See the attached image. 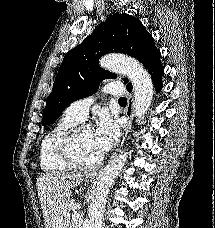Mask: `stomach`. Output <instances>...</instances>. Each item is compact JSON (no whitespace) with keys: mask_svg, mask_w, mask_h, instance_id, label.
<instances>
[{"mask_svg":"<svg viewBox=\"0 0 215 228\" xmlns=\"http://www.w3.org/2000/svg\"><path fill=\"white\" fill-rule=\"evenodd\" d=\"M83 182H85L87 186H92V184H94V182H91L90 176H85V178H83Z\"/></svg>","mask_w":215,"mask_h":228,"instance_id":"0dacf381","label":"stomach"}]
</instances>
